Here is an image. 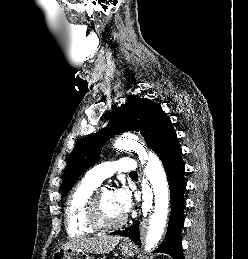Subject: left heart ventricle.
<instances>
[{
	"instance_id": "left-heart-ventricle-1",
	"label": "left heart ventricle",
	"mask_w": 248,
	"mask_h": 259,
	"mask_svg": "<svg viewBox=\"0 0 248 259\" xmlns=\"http://www.w3.org/2000/svg\"><path fill=\"white\" fill-rule=\"evenodd\" d=\"M100 205L102 215L106 221L115 222L123 218L124 215L117 207L112 191H102L100 194Z\"/></svg>"
}]
</instances>
